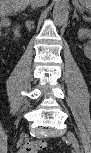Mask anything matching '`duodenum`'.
<instances>
[{"label":"duodenum","mask_w":91,"mask_h":153,"mask_svg":"<svg viewBox=\"0 0 91 153\" xmlns=\"http://www.w3.org/2000/svg\"><path fill=\"white\" fill-rule=\"evenodd\" d=\"M14 32H15V34H20V32H21L20 26H16L14 29Z\"/></svg>","instance_id":"obj_1"}]
</instances>
